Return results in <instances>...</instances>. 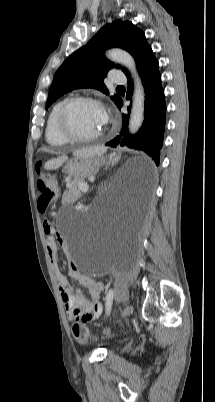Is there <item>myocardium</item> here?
Segmentation results:
<instances>
[{"label": "myocardium", "instance_id": "obj_1", "mask_svg": "<svg viewBox=\"0 0 215 402\" xmlns=\"http://www.w3.org/2000/svg\"><path fill=\"white\" fill-rule=\"evenodd\" d=\"M91 103L94 105H97L103 113L105 114V117L107 118V113L104 108L103 103L94 97L91 96H73L70 98H67L66 100L63 101L61 106L58 109L57 112V118H56V124H57V129L60 132V134L66 138L70 142H76V143H89L98 140L104 135V130L99 131L96 134L90 135V136H81L73 131L70 130L68 123H67V114L69 109L76 103Z\"/></svg>", "mask_w": 215, "mask_h": 402}]
</instances>
